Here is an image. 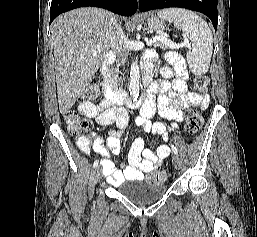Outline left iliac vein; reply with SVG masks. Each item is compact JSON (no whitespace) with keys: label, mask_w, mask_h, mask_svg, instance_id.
I'll use <instances>...</instances> for the list:
<instances>
[{"label":"left iliac vein","mask_w":257,"mask_h":237,"mask_svg":"<svg viewBox=\"0 0 257 237\" xmlns=\"http://www.w3.org/2000/svg\"><path fill=\"white\" fill-rule=\"evenodd\" d=\"M173 165L176 169H180L182 166L181 159L178 156L173 157Z\"/></svg>","instance_id":"4c4485c4"}]
</instances>
